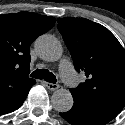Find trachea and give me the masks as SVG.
Returning a JSON list of instances; mask_svg holds the SVG:
<instances>
[{"instance_id": "3493384b", "label": "trachea", "mask_w": 125, "mask_h": 125, "mask_svg": "<svg viewBox=\"0 0 125 125\" xmlns=\"http://www.w3.org/2000/svg\"><path fill=\"white\" fill-rule=\"evenodd\" d=\"M30 76L36 79H44L45 81L53 84L57 81L55 75L46 69H37L32 72Z\"/></svg>"}]
</instances>
